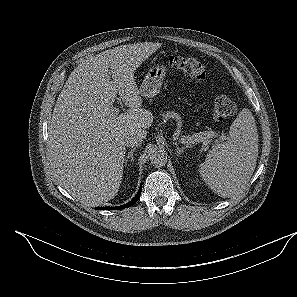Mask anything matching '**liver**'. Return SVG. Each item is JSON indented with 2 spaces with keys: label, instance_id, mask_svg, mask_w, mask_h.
Listing matches in <instances>:
<instances>
[{
  "label": "liver",
  "instance_id": "6515ba94",
  "mask_svg": "<svg viewBox=\"0 0 297 297\" xmlns=\"http://www.w3.org/2000/svg\"><path fill=\"white\" fill-rule=\"evenodd\" d=\"M160 47L127 44L91 56L73 70L59 94L48 128L49 157L59 183L86 206L115 197L123 177L125 137L147 135L153 116L142 108L134 72ZM117 94L129 107L120 115L113 106Z\"/></svg>",
  "mask_w": 297,
  "mask_h": 297
}]
</instances>
